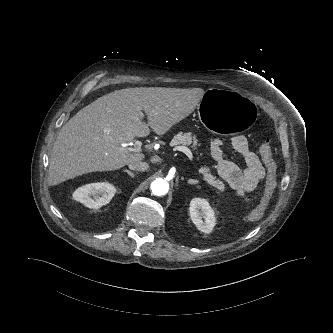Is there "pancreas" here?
I'll return each instance as SVG.
<instances>
[{"label":"pancreas","mask_w":333,"mask_h":333,"mask_svg":"<svg viewBox=\"0 0 333 333\" xmlns=\"http://www.w3.org/2000/svg\"><path fill=\"white\" fill-rule=\"evenodd\" d=\"M192 144V148L196 149V146H200V144H198V140L196 138V136H193L190 132L188 133H178L177 135H175L173 137V139L170 142L171 146H177V145H191ZM199 172L202 174L203 176V180L206 181L209 185L215 187L216 189L220 190V191H224L225 190V185L223 183V181L216 179L215 176L210 174V169L207 166H203Z\"/></svg>","instance_id":"pancreas-1"}]
</instances>
